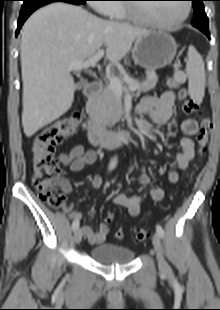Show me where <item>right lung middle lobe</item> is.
Instances as JSON below:
<instances>
[{"label": "right lung middle lobe", "mask_w": 220, "mask_h": 310, "mask_svg": "<svg viewBox=\"0 0 220 310\" xmlns=\"http://www.w3.org/2000/svg\"><path fill=\"white\" fill-rule=\"evenodd\" d=\"M36 1H40V0H24V3H25V2L31 3V2H36Z\"/></svg>", "instance_id": "dd1d6c3e"}]
</instances>
